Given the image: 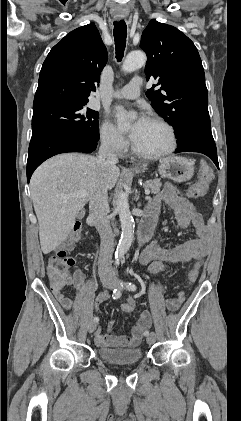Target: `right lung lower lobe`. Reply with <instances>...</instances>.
<instances>
[{
    "mask_svg": "<svg viewBox=\"0 0 241 421\" xmlns=\"http://www.w3.org/2000/svg\"><path fill=\"white\" fill-rule=\"evenodd\" d=\"M97 141L68 132H50L31 138L27 160V180L46 159L66 152L91 153Z\"/></svg>",
    "mask_w": 241,
    "mask_h": 421,
    "instance_id": "right-lung-lower-lobe-1",
    "label": "right lung lower lobe"
}]
</instances>
